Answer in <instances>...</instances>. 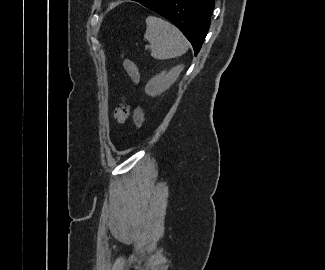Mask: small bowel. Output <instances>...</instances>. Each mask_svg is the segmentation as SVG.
Instances as JSON below:
<instances>
[{"label": "small bowel", "instance_id": "c3829d8e", "mask_svg": "<svg viewBox=\"0 0 325 270\" xmlns=\"http://www.w3.org/2000/svg\"><path fill=\"white\" fill-rule=\"evenodd\" d=\"M130 114V107L127 105H120L116 109V118L119 121L125 120Z\"/></svg>", "mask_w": 325, "mask_h": 270}]
</instances>
